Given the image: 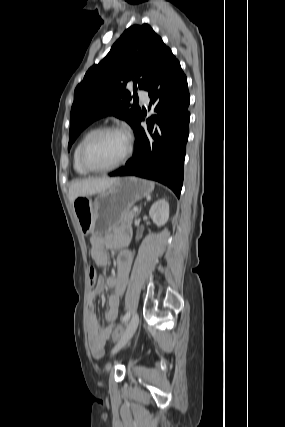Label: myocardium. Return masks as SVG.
<instances>
[{"instance_id":"1","label":"myocardium","mask_w":285,"mask_h":427,"mask_svg":"<svg viewBox=\"0 0 285 427\" xmlns=\"http://www.w3.org/2000/svg\"><path fill=\"white\" fill-rule=\"evenodd\" d=\"M110 132H122V133H124V131L121 130L117 126H104V127L97 129L92 135H90L84 141V143L80 149V163L86 170H88L90 172H95V173L111 171V170L118 168L122 164H124L128 160V158L131 156L132 151H133V140H132L130 135L124 133L127 137V140H128L127 149H126L125 153L123 154V156L118 161H116L115 163H113L109 166H105V167H96V166H93L89 162L87 154H88V150H89L90 146L98 138H100L104 134L110 133Z\"/></svg>"}]
</instances>
